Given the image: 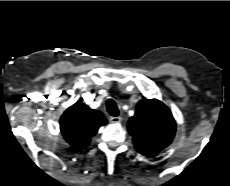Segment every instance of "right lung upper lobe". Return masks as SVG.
<instances>
[{"mask_svg":"<svg viewBox=\"0 0 230 186\" xmlns=\"http://www.w3.org/2000/svg\"><path fill=\"white\" fill-rule=\"evenodd\" d=\"M106 123L100 111L92 110L83 103H75L61 116L60 129L65 140L79 150L87 147L90 138Z\"/></svg>","mask_w":230,"mask_h":186,"instance_id":"cb5924a9","label":"right lung upper lobe"}]
</instances>
